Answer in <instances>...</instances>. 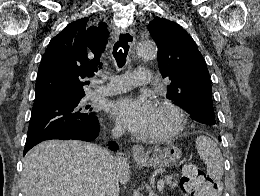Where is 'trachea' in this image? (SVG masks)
<instances>
[{
  "instance_id": "1",
  "label": "trachea",
  "mask_w": 260,
  "mask_h": 196,
  "mask_svg": "<svg viewBox=\"0 0 260 196\" xmlns=\"http://www.w3.org/2000/svg\"><path fill=\"white\" fill-rule=\"evenodd\" d=\"M128 51V40L126 35L121 33L119 40L113 46V56L119 68H122L125 65Z\"/></svg>"
}]
</instances>
